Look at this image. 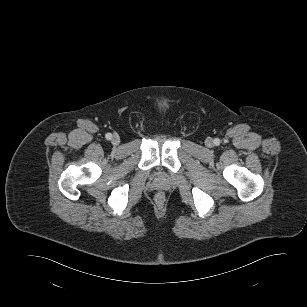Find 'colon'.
<instances>
[{
    "mask_svg": "<svg viewBox=\"0 0 307 307\" xmlns=\"http://www.w3.org/2000/svg\"><path fill=\"white\" fill-rule=\"evenodd\" d=\"M157 197H158V199H159V200H162V199H164V196H163V194H158V196H157Z\"/></svg>",
    "mask_w": 307,
    "mask_h": 307,
    "instance_id": "1",
    "label": "colon"
}]
</instances>
